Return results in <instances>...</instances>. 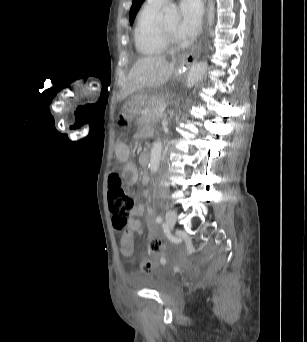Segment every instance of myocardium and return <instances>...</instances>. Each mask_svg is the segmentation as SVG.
<instances>
[{
    "instance_id": "f54148a6",
    "label": "myocardium",
    "mask_w": 307,
    "mask_h": 342,
    "mask_svg": "<svg viewBox=\"0 0 307 342\" xmlns=\"http://www.w3.org/2000/svg\"><path fill=\"white\" fill-rule=\"evenodd\" d=\"M155 36H156L157 44L159 45V47L162 49V51L164 53L175 54V53L179 52L181 46L178 48H175L169 44V42L167 41V39L165 38V36L163 34L161 24L158 21L155 24Z\"/></svg>"
}]
</instances>
